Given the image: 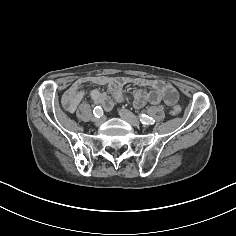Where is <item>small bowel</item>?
Listing matches in <instances>:
<instances>
[{
	"label": "small bowel",
	"mask_w": 236,
	"mask_h": 236,
	"mask_svg": "<svg viewBox=\"0 0 236 236\" xmlns=\"http://www.w3.org/2000/svg\"><path fill=\"white\" fill-rule=\"evenodd\" d=\"M89 81L108 88L109 93L102 92L98 89L90 91L92 101L106 111L113 108L115 101H120L124 98L123 87L128 83L139 87V89L133 92L134 104L137 108L143 107L147 103L159 105L164 102L167 105H173L178 99L176 89L170 83L161 80L147 78L132 79L123 76H95L91 77ZM84 82L85 80L79 79L65 91L62 101L64 107L69 112H73L84 97L85 91L82 89ZM145 89H149V91Z\"/></svg>",
	"instance_id": "obj_1"
}]
</instances>
